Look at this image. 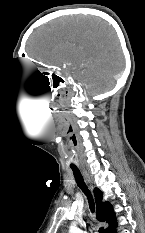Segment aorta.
<instances>
[{"label":"aorta","mask_w":145,"mask_h":233,"mask_svg":"<svg viewBox=\"0 0 145 233\" xmlns=\"http://www.w3.org/2000/svg\"><path fill=\"white\" fill-rule=\"evenodd\" d=\"M78 224L82 226L81 221H74L70 226L69 233H81L78 228Z\"/></svg>","instance_id":"762f6f07"}]
</instances>
